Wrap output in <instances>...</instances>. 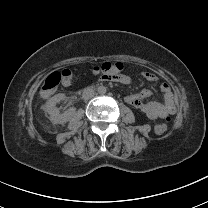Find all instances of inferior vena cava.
<instances>
[{"label": "inferior vena cava", "mask_w": 208, "mask_h": 208, "mask_svg": "<svg viewBox=\"0 0 208 208\" xmlns=\"http://www.w3.org/2000/svg\"><path fill=\"white\" fill-rule=\"evenodd\" d=\"M95 92L92 88L87 87L83 90L82 97L85 100L91 99L94 96Z\"/></svg>", "instance_id": "602c4592"}]
</instances>
